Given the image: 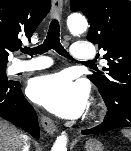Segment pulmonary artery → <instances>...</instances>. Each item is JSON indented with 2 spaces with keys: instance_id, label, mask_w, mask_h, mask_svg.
Returning a JSON list of instances; mask_svg holds the SVG:
<instances>
[{
  "instance_id": "e3ab8cb5",
  "label": "pulmonary artery",
  "mask_w": 131,
  "mask_h": 151,
  "mask_svg": "<svg viewBox=\"0 0 131 151\" xmlns=\"http://www.w3.org/2000/svg\"><path fill=\"white\" fill-rule=\"evenodd\" d=\"M72 57L79 62H87L95 57V50L91 43L81 41L76 42L71 48ZM51 61L47 58H37L30 61H19L12 66V71L27 72L48 67Z\"/></svg>"
}]
</instances>
